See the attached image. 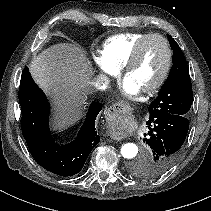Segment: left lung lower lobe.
I'll use <instances>...</instances> for the list:
<instances>
[{"instance_id":"obj_1","label":"left lung lower lobe","mask_w":211,"mask_h":211,"mask_svg":"<svg viewBox=\"0 0 211 211\" xmlns=\"http://www.w3.org/2000/svg\"><path fill=\"white\" fill-rule=\"evenodd\" d=\"M143 142L151 149V159L144 163L148 177H156L177 160L189 129L187 117L163 113L150 116Z\"/></svg>"}]
</instances>
